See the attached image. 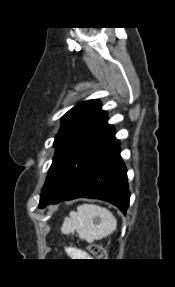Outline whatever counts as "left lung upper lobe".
<instances>
[{"mask_svg": "<svg viewBox=\"0 0 175 287\" xmlns=\"http://www.w3.org/2000/svg\"><path fill=\"white\" fill-rule=\"evenodd\" d=\"M61 121L54 141L55 156L39 206L57 198L115 140L114 126L107 123V112L101 109L97 99L75 105Z\"/></svg>", "mask_w": 175, "mask_h": 287, "instance_id": "left-lung-upper-lobe-1", "label": "left lung upper lobe"}]
</instances>
